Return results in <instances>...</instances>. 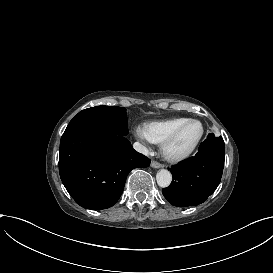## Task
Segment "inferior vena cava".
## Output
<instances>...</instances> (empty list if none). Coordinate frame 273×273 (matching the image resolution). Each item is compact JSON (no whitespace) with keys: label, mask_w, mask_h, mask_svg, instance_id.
<instances>
[{"label":"inferior vena cava","mask_w":273,"mask_h":273,"mask_svg":"<svg viewBox=\"0 0 273 273\" xmlns=\"http://www.w3.org/2000/svg\"><path fill=\"white\" fill-rule=\"evenodd\" d=\"M133 148L137 151V152H140V153H143L145 155H148L149 154V151L148 149L142 145L140 142H135L133 144Z\"/></svg>","instance_id":"602c4592"}]
</instances>
